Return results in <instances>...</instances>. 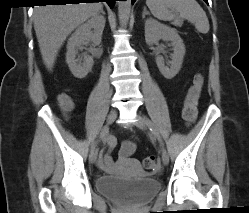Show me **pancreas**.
I'll return each instance as SVG.
<instances>
[{
    "label": "pancreas",
    "instance_id": "obj_1",
    "mask_svg": "<svg viewBox=\"0 0 249 213\" xmlns=\"http://www.w3.org/2000/svg\"><path fill=\"white\" fill-rule=\"evenodd\" d=\"M174 25L178 26V27H181L182 26V22L176 21V22H174Z\"/></svg>",
    "mask_w": 249,
    "mask_h": 213
}]
</instances>
